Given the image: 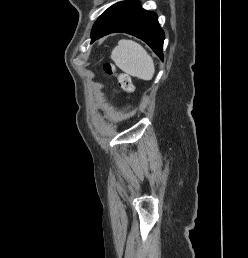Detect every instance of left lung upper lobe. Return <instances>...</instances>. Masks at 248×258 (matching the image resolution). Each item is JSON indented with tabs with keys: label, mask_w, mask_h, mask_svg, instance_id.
Listing matches in <instances>:
<instances>
[{
	"label": "left lung upper lobe",
	"mask_w": 248,
	"mask_h": 258,
	"mask_svg": "<svg viewBox=\"0 0 248 258\" xmlns=\"http://www.w3.org/2000/svg\"><path fill=\"white\" fill-rule=\"evenodd\" d=\"M128 1H122L118 2L111 7H109L95 22L94 26L95 27L97 24H99L101 21H103L105 18H107L110 14H112L114 11L122 7L124 4H126Z\"/></svg>",
	"instance_id": "5c2ea615"
}]
</instances>
